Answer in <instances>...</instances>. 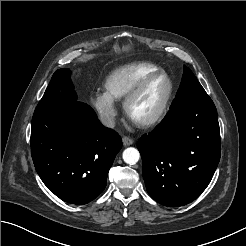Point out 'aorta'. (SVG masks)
<instances>
[{"mask_svg": "<svg viewBox=\"0 0 246 246\" xmlns=\"http://www.w3.org/2000/svg\"><path fill=\"white\" fill-rule=\"evenodd\" d=\"M123 160L129 165H134L138 162L140 158L139 151L134 147L126 148L122 154Z\"/></svg>", "mask_w": 246, "mask_h": 246, "instance_id": "762f6f07", "label": "aorta"}]
</instances>
